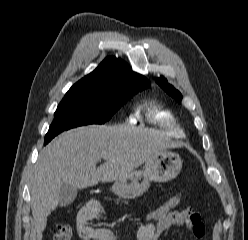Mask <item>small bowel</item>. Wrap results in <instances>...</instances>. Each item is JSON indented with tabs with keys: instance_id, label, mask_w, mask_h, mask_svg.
<instances>
[{
	"instance_id": "obj_1",
	"label": "small bowel",
	"mask_w": 248,
	"mask_h": 240,
	"mask_svg": "<svg viewBox=\"0 0 248 240\" xmlns=\"http://www.w3.org/2000/svg\"><path fill=\"white\" fill-rule=\"evenodd\" d=\"M103 212V205L97 200H90L80 209L76 219L79 237L82 240H129L111 229L90 225V222L101 217ZM172 226L187 227L198 240H203L206 232L201 215L186 207L174 210L160 219L142 223L132 236V240H159Z\"/></svg>"
}]
</instances>
